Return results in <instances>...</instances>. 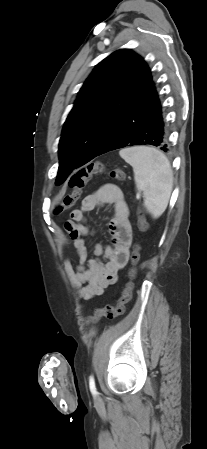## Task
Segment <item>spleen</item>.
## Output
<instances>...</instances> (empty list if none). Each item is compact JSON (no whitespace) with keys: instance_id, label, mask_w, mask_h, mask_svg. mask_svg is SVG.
<instances>
[{"instance_id":"obj_1","label":"spleen","mask_w":207,"mask_h":449,"mask_svg":"<svg viewBox=\"0 0 207 449\" xmlns=\"http://www.w3.org/2000/svg\"><path fill=\"white\" fill-rule=\"evenodd\" d=\"M119 154L133 168L136 188L143 192L144 206L153 218H158L167 208L173 188L168 158L158 149L147 146L128 147Z\"/></svg>"}]
</instances>
